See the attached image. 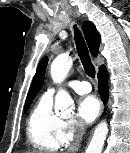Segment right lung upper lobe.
Wrapping results in <instances>:
<instances>
[{
    "label": "right lung upper lobe",
    "mask_w": 130,
    "mask_h": 153,
    "mask_svg": "<svg viewBox=\"0 0 130 153\" xmlns=\"http://www.w3.org/2000/svg\"><path fill=\"white\" fill-rule=\"evenodd\" d=\"M82 29H83L85 39L87 41L91 54L93 56H97L99 53L100 34L96 30L95 25L89 21L83 22ZM47 62H48V58L45 57L39 63L36 74L33 78L32 84L30 86V89L26 98V103L33 101L36 94L41 89L42 84L44 82Z\"/></svg>",
    "instance_id": "right-lung-upper-lobe-1"
}]
</instances>
